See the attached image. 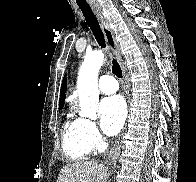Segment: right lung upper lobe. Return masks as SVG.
<instances>
[{"mask_svg": "<svg viewBox=\"0 0 196 182\" xmlns=\"http://www.w3.org/2000/svg\"><path fill=\"white\" fill-rule=\"evenodd\" d=\"M65 92H66V76L64 77L61 85V90H60V99H59V108L62 109L64 105V100H65Z\"/></svg>", "mask_w": 196, "mask_h": 182, "instance_id": "obj_1", "label": "right lung upper lobe"}]
</instances>
